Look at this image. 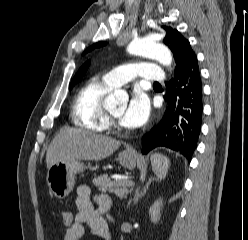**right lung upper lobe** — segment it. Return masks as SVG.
I'll return each instance as SVG.
<instances>
[{
  "mask_svg": "<svg viewBox=\"0 0 248 240\" xmlns=\"http://www.w3.org/2000/svg\"><path fill=\"white\" fill-rule=\"evenodd\" d=\"M90 61H87L81 68L80 70L77 72V74L75 75V77L73 78L72 82H78L83 75L86 73L88 67H89ZM71 82V83H72Z\"/></svg>",
  "mask_w": 248,
  "mask_h": 240,
  "instance_id": "right-lung-upper-lobe-1",
  "label": "right lung upper lobe"
}]
</instances>
